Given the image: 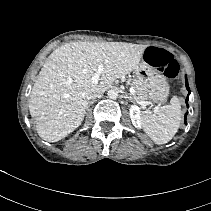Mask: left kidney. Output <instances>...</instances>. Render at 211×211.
Masks as SVG:
<instances>
[{"mask_svg":"<svg viewBox=\"0 0 211 211\" xmlns=\"http://www.w3.org/2000/svg\"><path fill=\"white\" fill-rule=\"evenodd\" d=\"M129 113H130V118H131L132 124L136 128H141L142 120H141L140 108L137 105H132L129 109Z\"/></svg>","mask_w":211,"mask_h":211,"instance_id":"5707ae66","label":"left kidney"}]
</instances>
